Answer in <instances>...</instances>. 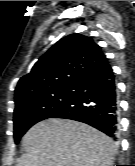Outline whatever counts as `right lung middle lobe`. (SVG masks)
I'll use <instances>...</instances> for the list:
<instances>
[{"label":"right lung middle lobe","instance_id":"obj_1","mask_svg":"<svg viewBox=\"0 0 135 166\" xmlns=\"http://www.w3.org/2000/svg\"><path fill=\"white\" fill-rule=\"evenodd\" d=\"M74 86L53 95L25 103L14 110V139L17 144L25 132L34 124L50 118L59 110L69 106L74 97Z\"/></svg>","mask_w":135,"mask_h":166}]
</instances>
